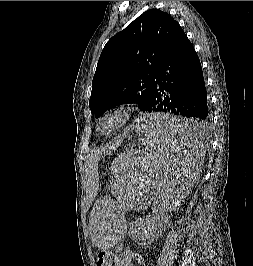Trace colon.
Instances as JSON below:
<instances>
[{"label":"colon","instance_id":"colon-1","mask_svg":"<svg viewBox=\"0 0 253 266\" xmlns=\"http://www.w3.org/2000/svg\"><path fill=\"white\" fill-rule=\"evenodd\" d=\"M119 259L115 254L108 251H101L97 255V266H118Z\"/></svg>","mask_w":253,"mask_h":266}]
</instances>
